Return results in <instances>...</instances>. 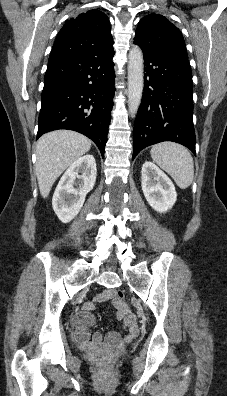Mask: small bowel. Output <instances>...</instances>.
Returning <instances> with one entry per match:
<instances>
[{
  "mask_svg": "<svg viewBox=\"0 0 227 396\" xmlns=\"http://www.w3.org/2000/svg\"><path fill=\"white\" fill-rule=\"evenodd\" d=\"M109 300L112 301L113 306L117 310V319L122 321L123 329L125 331L123 339L125 341H131L138 335L139 328L136 324L135 317L128 306L123 300L117 299L116 290L107 289L98 294L93 301L87 302L83 307V311L72 317V324L76 327L75 339L82 346L88 349H97L103 344L101 333L95 332L92 337H90L89 327L94 323L92 311L94 310L96 303ZM121 337V332H109L106 336V343L109 345H116L120 341Z\"/></svg>",
  "mask_w": 227,
  "mask_h": 396,
  "instance_id": "obj_1",
  "label": "small bowel"
}]
</instances>
